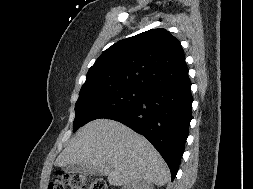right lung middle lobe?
Instances as JSON below:
<instances>
[{
    "label": "right lung middle lobe",
    "mask_w": 253,
    "mask_h": 189,
    "mask_svg": "<svg viewBox=\"0 0 253 189\" xmlns=\"http://www.w3.org/2000/svg\"><path fill=\"white\" fill-rule=\"evenodd\" d=\"M145 91L132 87L110 86L80 93L75 106L73 132L86 123L107 118L137 104Z\"/></svg>",
    "instance_id": "dd1d6c3e"
}]
</instances>
